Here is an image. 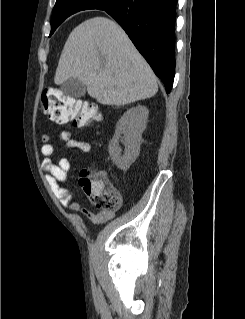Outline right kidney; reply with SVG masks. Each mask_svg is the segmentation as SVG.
Listing matches in <instances>:
<instances>
[{"instance_id": "obj_1", "label": "right kidney", "mask_w": 245, "mask_h": 319, "mask_svg": "<svg viewBox=\"0 0 245 319\" xmlns=\"http://www.w3.org/2000/svg\"><path fill=\"white\" fill-rule=\"evenodd\" d=\"M148 114L146 106L138 105L129 109L118 121L114 138L109 143L108 149L113 162L119 169L126 171L139 156L142 133L146 128ZM119 139L125 146L122 156Z\"/></svg>"}]
</instances>
